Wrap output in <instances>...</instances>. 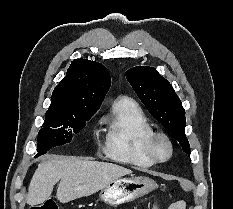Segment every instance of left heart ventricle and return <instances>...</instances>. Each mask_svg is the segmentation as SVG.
<instances>
[{
	"instance_id": "obj_1",
	"label": "left heart ventricle",
	"mask_w": 233,
	"mask_h": 209,
	"mask_svg": "<svg viewBox=\"0 0 233 209\" xmlns=\"http://www.w3.org/2000/svg\"><path fill=\"white\" fill-rule=\"evenodd\" d=\"M161 153H162L163 155L166 154V148H165L164 146L161 147Z\"/></svg>"
}]
</instances>
